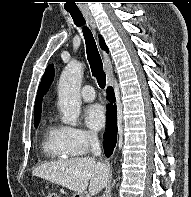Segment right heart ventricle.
Instances as JSON below:
<instances>
[{
    "label": "right heart ventricle",
    "instance_id": "obj_1",
    "mask_svg": "<svg viewBox=\"0 0 191 197\" xmlns=\"http://www.w3.org/2000/svg\"><path fill=\"white\" fill-rule=\"evenodd\" d=\"M41 149L51 159L65 160L71 155L65 150L62 142V127L47 121L42 129Z\"/></svg>",
    "mask_w": 191,
    "mask_h": 197
}]
</instances>
